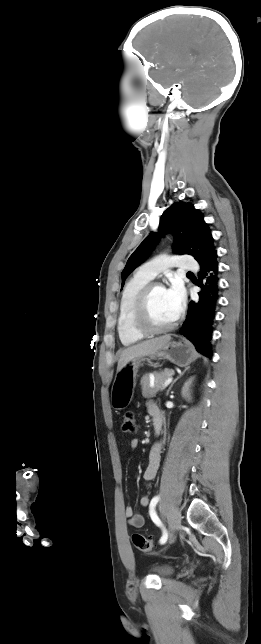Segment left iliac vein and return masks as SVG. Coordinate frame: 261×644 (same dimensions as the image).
<instances>
[{
	"mask_svg": "<svg viewBox=\"0 0 261 644\" xmlns=\"http://www.w3.org/2000/svg\"><path fill=\"white\" fill-rule=\"evenodd\" d=\"M168 523L170 528L169 541L174 540V532L179 529L181 524V513L178 509L173 508L168 515Z\"/></svg>",
	"mask_w": 261,
	"mask_h": 644,
	"instance_id": "obj_1",
	"label": "left iliac vein"
}]
</instances>
